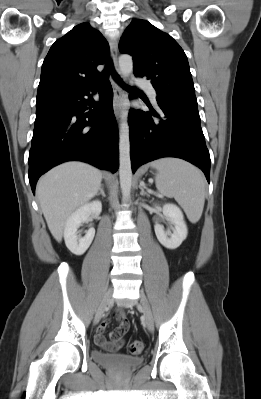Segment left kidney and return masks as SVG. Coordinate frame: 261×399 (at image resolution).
Listing matches in <instances>:
<instances>
[{"mask_svg":"<svg viewBox=\"0 0 261 399\" xmlns=\"http://www.w3.org/2000/svg\"><path fill=\"white\" fill-rule=\"evenodd\" d=\"M163 215L174 225L171 231H165L164 227L158 223L155 224L154 230L158 241L167 249H176L186 239L188 230L184 221L181 209L174 204H164L162 207Z\"/></svg>","mask_w":261,"mask_h":399,"instance_id":"obj_1","label":"left kidney"}]
</instances>
